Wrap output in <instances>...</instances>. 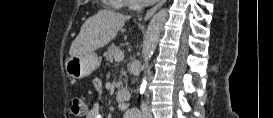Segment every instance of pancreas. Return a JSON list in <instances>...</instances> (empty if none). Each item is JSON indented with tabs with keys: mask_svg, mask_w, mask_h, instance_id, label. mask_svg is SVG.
<instances>
[{
	"mask_svg": "<svg viewBox=\"0 0 273 118\" xmlns=\"http://www.w3.org/2000/svg\"><path fill=\"white\" fill-rule=\"evenodd\" d=\"M120 51L121 50L119 47H117L115 44H111L108 50L104 53V57L106 61L113 62L115 53ZM121 86H122V82L119 81L117 83V87L120 88Z\"/></svg>",
	"mask_w": 273,
	"mask_h": 118,
	"instance_id": "cf45deb5",
	"label": "pancreas"
}]
</instances>
